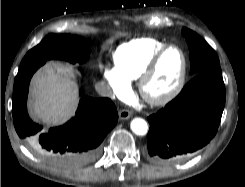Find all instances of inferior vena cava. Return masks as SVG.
Returning <instances> with one entry per match:
<instances>
[{
	"instance_id": "1",
	"label": "inferior vena cava",
	"mask_w": 245,
	"mask_h": 187,
	"mask_svg": "<svg viewBox=\"0 0 245 187\" xmlns=\"http://www.w3.org/2000/svg\"><path fill=\"white\" fill-rule=\"evenodd\" d=\"M95 89L97 93L101 96L110 97L112 95V90L110 86L104 81L97 82L95 84Z\"/></svg>"
}]
</instances>
